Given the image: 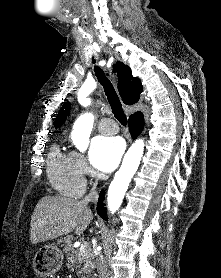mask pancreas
I'll list each match as a JSON object with an SVG mask.
<instances>
[{"mask_svg":"<svg viewBox=\"0 0 221 278\" xmlns=\"http://www.w3.org/2000/svg\"><path fill=\"white\" fill-rule=\"evenodd\" d=\"M72 237L61 238L58 243H61L64 246V251L67 254V262L68 267H72L75 262L79 264H83L80 273L82 274V278H88L91 273L94 264L92 262V254L90 253V248L86 249L85 252L80 254L79 249H74L72 247Z\"/></svg>","mask_w":221,"mask_h":278,"instance_id":"cf45deb5","label":"pancreas"}]
</instances>
